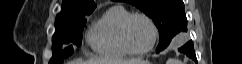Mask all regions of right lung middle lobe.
<instances>
[{
	"label": "right lung middle lobe",
	"instance_id": "right-lung-middle-lobe-1",
	"mask_svg": "<svg viewBox=\"0 0 242 64\" xmlns=\"http://www.w3.org/2000/svg\"><path fill=\"white\" fill-rule=\"evenodd\" d=\"M89 14L91 13L70 21L55 22V33L52 38L53 56L49 64H61L65 58H68L74 52L72 46L62 50V44L73 43L77 46L81 45L82 32L86 24L85 17Z\"/></svg>",
	"mask_w": 242,
	"mask_h": 64
}]
</instances>
